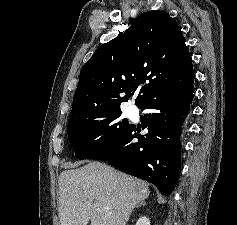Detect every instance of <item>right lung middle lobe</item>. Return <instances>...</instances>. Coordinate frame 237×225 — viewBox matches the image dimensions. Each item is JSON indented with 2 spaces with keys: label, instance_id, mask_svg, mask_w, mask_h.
Listing matches in <instances>:
<instances>
[{
  "label": "right lung middle lobe",
  "instance_id": "obj_1",
  "mask_svg": "<svg viewBox=\"0 0 237 225\" xmlns=\"http://www.w3.org/2000/svg\"><path fill=\"white\" fill-rule=\"evenodd\" d=\"M121 110H110L81 122L68 124L67 134L76 158L87 159L111 146L130 126Z\"/></svg>",
  "mask_w": 237,
  "mask_h": 225
}]
</instances>
